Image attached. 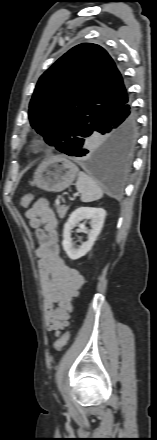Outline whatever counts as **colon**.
Returning <instances> with one entry per match:
<instances>
[{
    "label": "colon",
    "mask_w": 157,
    "mask_h": 440,
    "mask_svg": "<svg viewBox=\"0 0 157 440\" xmlns=\"http://www.w3.org/2000/svg\"><path fill=\"white\" fill-rule=\"evenodd\" d=\"M32 200H33V195L32 194H25L21 198V206L24 207V208H27L30 205V203L32 202ZM68 340H69V332L65 331L62 334V336L55 341L54 349L56 351L62 350L65 347V345L67 344Z\"/></svg>",
    "instance_id": "5ec220e1"
}]
</instances>
